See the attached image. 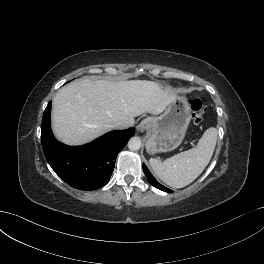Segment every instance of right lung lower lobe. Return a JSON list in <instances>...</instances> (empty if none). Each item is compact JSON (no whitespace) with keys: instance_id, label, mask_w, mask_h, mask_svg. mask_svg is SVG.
<instances>
[{"instance_id":"98d812e1","label":"right lung lower lobe","mask_w":264,"mask_h":264,"mask_svg":"<svg viewBox=\"0 0 264 264\" xmlns=\"http://www.w3.org/2000/svg\"><path fill=\"white\" fill-rule=\"evenodd\" d=\"M50 112L51 101L42 119L41 143L55 173L79 190H94L106 185L114 170L117 154L134 136L135 129L111 131L83 146H66L52 134Z\"/></svg>"}]
</instances>
